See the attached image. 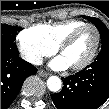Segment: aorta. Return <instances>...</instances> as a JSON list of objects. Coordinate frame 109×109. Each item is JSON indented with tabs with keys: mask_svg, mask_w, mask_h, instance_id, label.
I'll return each instance as SVG.
<instances>
[{
	"mask_svg": "<svg viewBox=\"0 0 109 109\" xmlns=\"http://www.w3.org/2000/svg\"><path fill=\"white\" fill-rule=\"evenodd\" d=\"M62 82L57 76H50L47 80V87L52 92H58L61 89Z\"/></svg>",
	"mask_w": 109,
	"mask_h": 109,
	"instance_id": "762f6f07",
	"label": "aorta"
}]
</instances>
